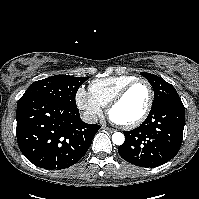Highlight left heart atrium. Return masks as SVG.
I'll return each instance as SVG.
<instances>
[{"label":"left heart atrium","instance_id":"left-heart-atrium-1","mask_svg":"<svg viewBox=\"0 0 199 199\" xmlns=\"http://www.w3.org/2000/svg\"><path fill=\"white\" fill-rule=\"evenodd\" d=\"M110 119L114 122H117L111 115H110Z\"/></svg>","mask_w":199,"mask_h":199}]
</instances>
